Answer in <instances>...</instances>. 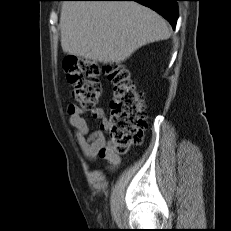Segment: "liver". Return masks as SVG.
Here are the masks:
<instances>
[{
    "label": "liver",
    "mask_w": 231,
    "mask_h": 231,
    "mask_svg": "<svg viewBox=\"0 0 231 231\" xmlns=\"http://www.w3.org/2000/svg\"><path fill=\"white\" fill-rule=\"evenodd\" d=\"M64 53L120 63L140 47L171 36L165 19L136 2L67 1L60 15Z\"/></svg>",
    "instance_id": "liver-1"
}]
</instances>
